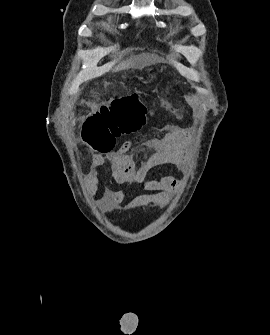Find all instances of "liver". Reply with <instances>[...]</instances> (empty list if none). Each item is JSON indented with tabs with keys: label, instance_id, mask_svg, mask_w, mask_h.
<instances>
[{
	"label": "liver",
	"instance_id": "obj_1",
	"mask_svg": "<svg viewBox=\"0 0 270 335\" xmlns=\"http://www.w3.org/2000/svg\"><path fill=\"white\" fill-rule=\"evenodd\" d=\"M136 62H137L136 58H130V60H126V62L118 64L114 72H118V70H127V68H133V66H136Z\"/></svg>",
	"mask_w": 270,
	"mask_h": 335
}]
</instances>
